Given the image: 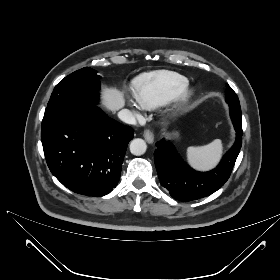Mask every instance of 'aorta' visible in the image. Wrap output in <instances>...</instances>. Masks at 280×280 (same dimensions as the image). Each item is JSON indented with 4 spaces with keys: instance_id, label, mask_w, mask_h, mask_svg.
Segmentation results:
<instances>
[{
    "instance_id": "762f6f07",
    "label": "aorta",
    "mask_w": 280,
    "mask_h": 280,
    "mask_svg": "<svg viewBox=\"0 0 280 280\" xmlns=\"http://www.w3.org/2000/svg\"><path fill=\"white\" fill-rule=\"evenodd\" d=\"M129 148L133 155L140 156L146 152L147 145L143 139L136 138L131 141Z\"/></svg>"
}]
</instances>
